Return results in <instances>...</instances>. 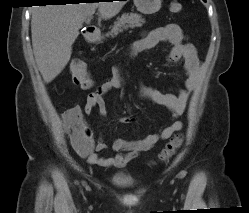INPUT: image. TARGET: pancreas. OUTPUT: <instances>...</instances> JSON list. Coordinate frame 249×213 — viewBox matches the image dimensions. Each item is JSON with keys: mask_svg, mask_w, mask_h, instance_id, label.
Listing matches in <instances>:
<instances>
[{"mask_svg": "<svg viewBox=\"0 0 249 213\" xmlns=\"http://www.w3.org/2000/svg\"><path fill=\"white\" fill-rule=\"evenodd\" d=\"M145 23V20L140 14L137 13H123L121 17H118L111 28V31L107 36H117L123 30L128 28L141 27Z\"/></svg>", "mask_w": 249, "mask_h": 213, "instance_id": "cf45deb5", "label": "pancreas"}]
</instances>
